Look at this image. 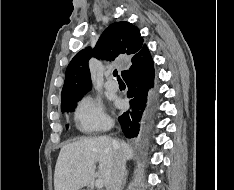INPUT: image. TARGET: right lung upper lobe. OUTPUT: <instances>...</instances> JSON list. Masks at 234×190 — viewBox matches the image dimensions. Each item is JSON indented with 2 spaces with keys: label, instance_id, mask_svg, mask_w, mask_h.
<instances>
[{
  "label": "right lung upper lobe",
  "instance_id": "obj_1",
  "mask_svg": "<svg viewBox=\"0 0 234 190\" xmlns=\"http://www.w3.org/2000/svg\"><path fill=\"white\" fill-rule=\"evenodd\" d=\"M146 48L136 26L124 21L111 24L102 33L93 50L88 47L79 51L69 63L65 73L61 104L77 99L91 89L88 60L92 56L114 60L124 55L133 62ZM124 72L122 71V75Z\"/></svg>",
  "mask_w": 234,
  "mask_h": 190
}]
</instances>
